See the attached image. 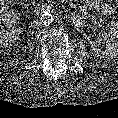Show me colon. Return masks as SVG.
I'll list each match as a JSON object with an SVG mask.
<instances>
[{
  "label": "colon",
  "instance_id": "1",
  "mask_svg": "<svg viewBox=\"0 0 118 118\" xmlns=\"http://www.w3.org/2000/svg\"><path fill=\"white\" fill-rule=\"evenodd\" d=\"M18 20V13L14 9H0V27L14 25Z\"/></svg>",
  "mask_w": 118,
  "mask_h": 118
}]
</instances>
